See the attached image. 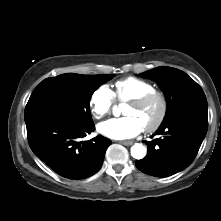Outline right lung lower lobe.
<instances>
[{
    "label": "right lung lower lobe",
    "instance_id": "obj_1",
    "mask_svg": "<svg viewBox=\"0 0 221 221\" xmlns=\"http://www.w3.org/2000/svg\"><path fill=\"white\" fill-rule=\"evenodd\" d=\"M31 150L62 177L79 180L99 171L112 141L98 135L81 141L95 130L56 115H39L26 122Z\"/></svg>",
    "mask_w": 221,
    "mask_h": 221
}]
</instances>
